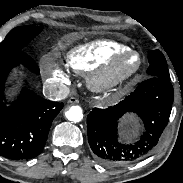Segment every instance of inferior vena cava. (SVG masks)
<instances>
[{"instance_id": "1", "label": "inferior vena cava", "mask_w": 183, "mask_h": 183, "mask_svg": "<svg viewBox=\"0 0 183 183\" xmlns=\"http://www.w3.org/2000/svg\"><path fill=\"white\" fill-rule=\"evenodd\" d=\"M43 94L52 101H60L68 96L69 88L62 84L46 85L43 88Z\"/></svg>"}]
</instances>
